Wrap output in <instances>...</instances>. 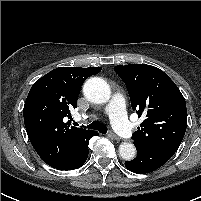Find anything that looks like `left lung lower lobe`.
<instances>
[{
    "label": "left lung lower lobe",
    "instance_id": "1",
    "mask_svg": "<svg viewBox=\"0 0 201 201\" xmlns=\"http://www.w3.org/2000/svg\"><path fill=\"white\" fill-rule=\"evenodd\" d=\"M176 152L172 149L143 150L137 148V157L125 162L132 172L144 174L152 172L164 165Z\"/></svg>",
    "mask_w": 201,
    "mask_h": 201
}]
</instances>
